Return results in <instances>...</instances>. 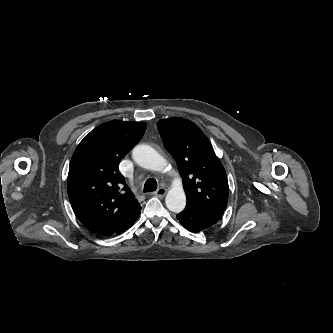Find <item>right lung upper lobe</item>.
I'll return each instance as SVG.
<instances>
[{
	"label": "right lung upper lobe",
	"mask_w": 333,
	"mask_h": 333,
	"mask_svg": "<svg viewBox=\"0 0 333 333\" xmlns=\"http://www.w3.org/2000/svg\"><path fill=\"white\" fill-rule=\"evenodd\" d=\"M145 130L143 122L112 120L92 130L77 146L67 190L76 217L90 231L116 235L139 217L141 206L118 165Z\"/></svg>",
	"instance_id": "obj_1"
}]
</instances>
